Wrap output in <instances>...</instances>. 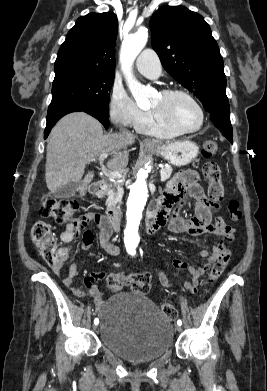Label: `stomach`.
<instances>
[{
    "instance_id": "obj_1",
    "label": "stomach",
    "mask_w": 267,
    "mask_h": 391,
    "mask_svg": "<svg viewBox=\"0 0 267 391\" xmlns=\"http://www.w3.org/2000/svg\"><path fill=\"white\" fill-rule=\"evenodd\" d=\"M147 150L159 154L171 164L182 167L190 164L199 154L198 145L191 140H182L169 144L155 142Z\"/></svg>"
}]
</instances>
